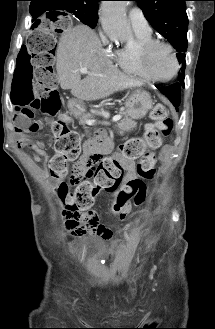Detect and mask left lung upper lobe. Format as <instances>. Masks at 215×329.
I'll return each instance as SVG.
<instances>
[{"mask_svg":"<svg viewBox=\"0 0 215 329\" xmlns=\"http://www.w3.org/2000/svg\"><path fill=\"white\" fill-rule=\"evenodd\" d=\"M137 1L145 18L164 36L177 51L182 65L178 81H184L185 52L187 51L188 17L185 1L188 0H133Z\"/></svg>","mask_w":215,"mask_h":329,"instance_id":"obj_1","label":"left lung upper lobe"}]
</instances>
